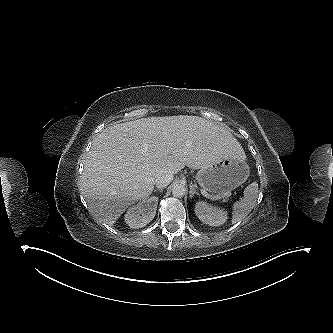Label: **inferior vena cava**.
<instances>
[{"mask_svg": "<svg viewBox=\"0 0 333 333\" xmlns=\"http://www.w3.org/2000/svg\"><path fill=\"white\" fill-rule=\"evenodd\" d=\"M172 180V174H160L155 179V185L157 188H165L171 183Z\"/></svg>", "mask_w": 333, "mask_h": 333, "instance_id": "obj_1", "label": "inferior vena cava"}]
</instances>
